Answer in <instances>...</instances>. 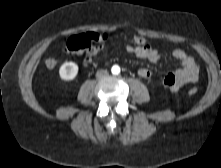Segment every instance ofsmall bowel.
<instances>
[{
    "instance_id": "1",
    "label": "small bowel",
    "mask_w": 221,
    "mask_h": 168,
    "mask_svg": "<svg viewBox=\"0 0 221 168\" xmlns=\"http://www.w3.org/2000/svg\"><path fill=\"white\" fill-rule=\"evenodd\" d=\"M101 49L102 47L100 46L93 48L86 54L85 62L91 63L93 57L98 54ZM125 50L138 58L147 59L152 64H157L162 58V53L148 43L144 47L126 45ZM172 56L180 62L181 67L173 73L168 74L163 80V85L169 92L177 93L184 85L195 83L198 80L200 69L195 60L181 49H175L172 52ZM137 73L139 77L143 79H149L151 77V71L147 68H140Z\"/></svg>"
}]
</instances>
